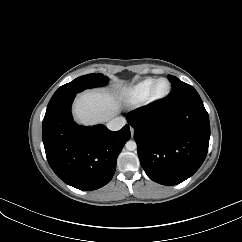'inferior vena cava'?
I'll list each match as a JSON object with an SVG mask.
<instances>
[{"label":"inferior vena cava","mask_w":242,"mask_h":242,"mask_svg":"<svg viewBox=\"0 0 242 242\" xmlns=\"http://www.w3.org/2000/svg\"><path fill=\"white\" fill-rule=\"evenodd\" d=\"M126 124V120L124 117H115L111 121L108 122L107 127L112 131L120 130Z\"/></svg>","instance_id":"602c4592"}]
</instances>
